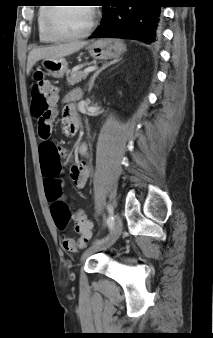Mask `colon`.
Returning a JSON list of instances; mask_svg holds the SVG:
<instances>
[{
	"label": "colon",
	"mask_w": 213,
	"mask_h": 338,
	"mask_svg": "<svg viewBox=\"0 0 213 338\" xmlns=\"http://www.w3.org/2000/svg\"><path fill=\"white\" fill-rule=\"evenodd\" d=\"M56 107L55 87L42 75H37L32 87L31 112L38 122V135L43 140L49 138L51 126L49 122ZM57 146L54 143H44L41 150L46 155H50ZM59 198L63 203L53 207V216L58 224H64L72 218L76 223V231L80 234L78 239L63 238V248L68 252H76L84 248L91 238V223L88 222L80 211H72L63 200L60 193Z\"/></svg>",
	"instance_id": "1"
}]
</instances>
